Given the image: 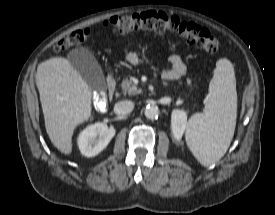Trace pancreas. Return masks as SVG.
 <instances>
[{
  "instance_id": "1",
  "label": "pancreas",
  "mask_w": 275,
  "mask_h": 215,
  "mask_svg": "<svg viewBox=\"0 0 275 215\" xmlns=\"http://www.w3.org/2000/svg\"><path fill=\"white\" fill-rule=\"evenodd\" d=\"M187 84L193 88V87H197L195 84L191 83V80L188 79L187 80ZM121 88L124 92L128 93V94H138L141 92L140 89L137 88V86L132 82V80L129 79H125L123 80L122 84H121Z\"/></svg>"
}]
</instances>
